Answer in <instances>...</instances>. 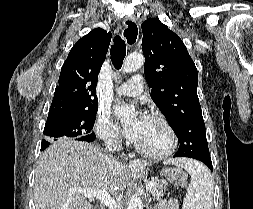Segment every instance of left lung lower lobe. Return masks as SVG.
Returning a JSON list of instances; mask_svg holds the SVG:
<instances>
[{
	"label": "left lung lower lobe",
	"instance_id": "left-lung-lower-lobe-1",
	"mask_svg": "<svg viewBox=\"0 0 253 209\" xmlns=\"http://www.w3.org/2000/svg\"><path fill=\"white\" fill-rule=\"evenodd\" d=\"M174 157H178V156L174 155ZM194 159L200 160V161L203 162L205 165H207L208 168H209L211 171L213 170L212 162H211L210 156L195 157Z\"/></svg>",
	"mask_w": 253,
	"mask_h": 209
}]
</instances>
